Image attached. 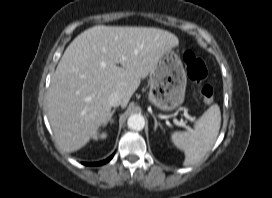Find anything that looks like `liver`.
Listing matches in <instances>:
<instances>
[{
  "instance_id": "obj_1",
  "label": "liver",
  "mask_w": 272,
  "mask_h": 198,
  "mask_svg": "<svg viewBox=\"0 0 272 198\" xmlns=\"http://www.w3.org/2000/svg\"><path fill=\"white\" fill-rule=\"evenodd\" d=\"M178 44L177 36L153 27L99 25L78 35L61 57L47 95L58 146L65 152L84 147L110 117V94L118 92L126 107L159 57Z\"/></svg>"
}]
</instances>
